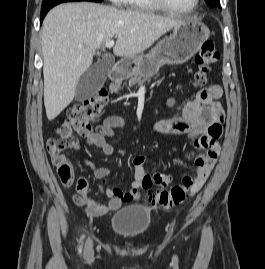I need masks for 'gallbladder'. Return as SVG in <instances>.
<instances>
[{"mask_svg": "<svg viewBox=\"0 0 265 269\" xmlns=\"http://www.w3.org/2000/svg\"><path fill=\"white\" fill-rule=\"evenodd\" d=\"M113 63L106 59L88 69L78 80L75 100L84 101L97 93L104 85Z\"/></svg>", "mask_w": 265, "mask_h": 269, "instance_id": "obj_1", "label": "gallbladder"}]
</instances>
